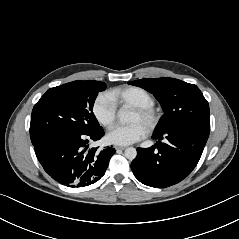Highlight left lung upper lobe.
<instances>
[{"label":"left lung upper lobe","instance_id":"5c2ea615","mask_svg":"<svg viewBox=\"0 0 239 239\" xmlns=\"http://www.w3.org/2000/svg\"><path fill=\"white\" fill-rule=\"evenodd\" d=\"M152 93L165 114L154 132L163 133L182 126L210 129L209 105L196 85L174 78H147L129 82Z\"/></svg>","mask_w":239,"mask_h":239}]
</instances>
